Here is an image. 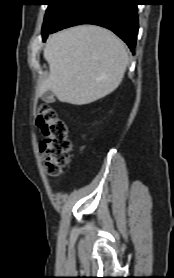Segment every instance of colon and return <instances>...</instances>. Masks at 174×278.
I'll use <instances>...</instances> for the list:
<instances>
[{"label":"colon","mask_w":174,"mask_h":278,"mask_svg":"<svg viewBox=\"0 0 174 278\" xmlns=\"http://www.w3.org/2000/svg\"><path fill=\"white\" fill-rule=\"evenodd\" d=\"M36 124L44 134L40 150L49 175L58 176L68 162L71 142L67 135L65 122L58 117L56 111L47 104L39 106Z\"/></svg>","instance_id":"1"}]
</instances>
